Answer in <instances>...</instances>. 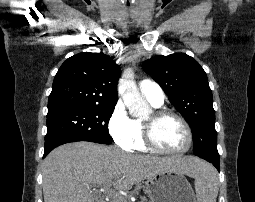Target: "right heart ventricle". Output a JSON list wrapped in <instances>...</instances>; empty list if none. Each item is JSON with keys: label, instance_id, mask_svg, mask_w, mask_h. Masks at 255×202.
Segmentation results:
<instances>
[{"label": "right heart ventricle", "instance_id": "e07e8e85", "mask_svg": "<svg viewBox=\"0 0 255 202\" xmlns=\"http://www.w3.org/2000/svg\"><path fill=\"white\" fill-rule=\"evenodd\" d=\"M153 106L160 107L156 105H153ZM133 127H134V141H133L132 149L143 151V152L148 151V148L146 147L144 143V139H143L142 121L139 119L133 120Z\"/></svg>", "mask_w": 255, "mask_h": 202}]
</instances>
